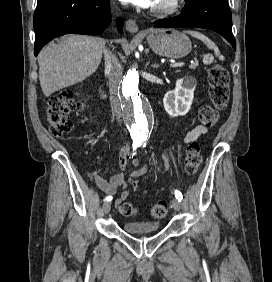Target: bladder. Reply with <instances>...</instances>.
Returning a JSON list of instances; mask_svg holds the SVG:
<instances>
[{"label": "bladder", "mask_w": 272, "mask_h": 282, "mask_svg": "<svg viewBox=\"0 0 272 282\" xmlns=\"http://www.w3.org/2000/svg\"><path fill=\"white\" fill-rule=\"evenodd\" d=\"M122 228L132 234L152 233L160 229V223L152 221H129L125 222Z\"/></svg>", "instance_id": "1"}]
</instances>
